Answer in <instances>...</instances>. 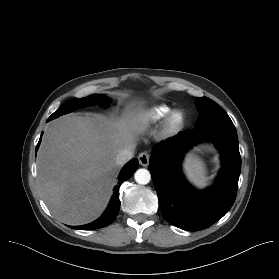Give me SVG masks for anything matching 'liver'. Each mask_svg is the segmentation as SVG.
<instances>
[{
    "label": "liver",
    "mask_w": 279,
    "mask_h": 279,
    "mask_svg": "<svg viewBox=\"0 0 279 279\" xmlns=\"http://www.w3.org/2000/svg\"><path fill=\"white\" fill-rule=\"evenodd\" d=\"M140 109L121 117L65 115L49 123L37 158L41 193L66 224H87L106 208L119 173L118 153L136 146L145 130Z\"/></svg>",
    "instance_id": "6515ba94"
}]
</instances>
